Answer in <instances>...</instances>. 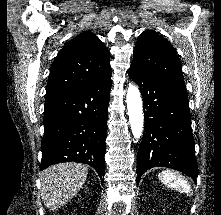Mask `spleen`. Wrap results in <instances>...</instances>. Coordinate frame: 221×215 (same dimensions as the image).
I'll return each mask as SVG.
<instances>
[{"mask_svg":"<svg viewBox=\"0 0 221 215\" xmlns=\"http://www.w3.org/2000/svg\"><path fill=\"white\" fill-rule=\"evenodd\" d=\"M160 181L179 192L192 195V189L188 181L180 174L171 170H164L159 174Z\"/></svg>","mask_w":221,"mask_h":215,"instance_id":"spleen-1","label":"spleen"}]
</instances>
